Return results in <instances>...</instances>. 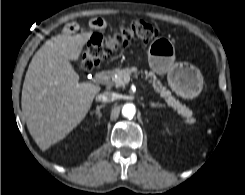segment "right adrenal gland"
<instances>
[{
  "instance_id": "1",
  "label": "right adrenal gland",
  "mask_w": 245,
  "mask_h": 195,
  "mask_svg": "<svg viewBox=\"0 0 245 195\" xmlns=\"http://www.w3.org/2000/svg\"><path fill=\"white\" fill-rule=\"evenodd\" d=\"M105 107V104H102L100 106L96 107V110L94 112H91V114L95 113L98 116V119L101 117L100 110Z\"/></svg>"
}]
</instances>
